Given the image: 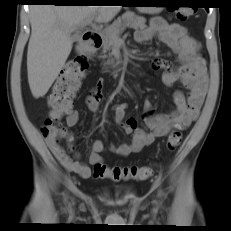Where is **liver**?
Returning a JSON list of instances; mask_svg holds the SVG:
<instances>
[{
  "instance_id": "liver-1",
  "label": "liver",
  "mask_w": 231,
  "mask_h": 231,
  "mask_svg": "<svg viewBox=\"0 0 231 231\" xmlns=\"http://www.w3.org/2000/svg\"><path fill=\"white\" fill-rule=\"evenodd\" d=\"M120 6L34 5L30 8L28 82L34 98L44 96L63 68L73 46L71 33L89 17L110 21Z\"/></svg>"
}]
</instances>
